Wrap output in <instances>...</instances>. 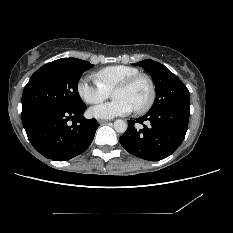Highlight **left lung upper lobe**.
Instances as JSON below:
<instances>
[{
    "instance_id": "1",
    "label": "left lung upper lobe",
    "mask_w": 233,
    "mask_h": 233,
    "mask_svg": "<svg viewBox=\"0 0 233 233\" xmlns=\"http://www.w3.org/2000/svg\"><path fill=\"white\" fill-rule=\"evenodd\" d=\"M133 65L144 68L154 80L156 98L149 111L190 103L187 87L164 65L150 59Z\"/></svg>"
}]
</instances>
